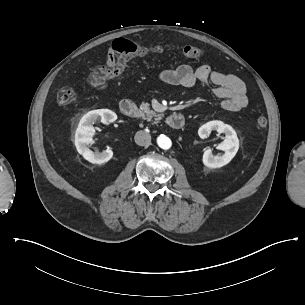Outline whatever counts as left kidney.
Here are the masks:
<instances>
[{
  "instance_id": "left-kidney-1",
  "label": "left kidney",
  "mask_w": 305,
  "mask_h": 305,
  "mask_svg": "<svg viewBox=\"0 0 305 305\" xmlns=\"http://www.w3.org/2000/svg\"><path fill=\"white\" fill-rule=\"evenodd\" d=\"M212 131L224 133L225 138L219 143L218 149L224 151L221 156L213 155L211 151H206L203 155V164L210 169H219L230 163L239 149V138L235 130L228 124L221 121H210L201 126L198 133L203 139L210 136Z\"/></svg>"
}]
</instances>
